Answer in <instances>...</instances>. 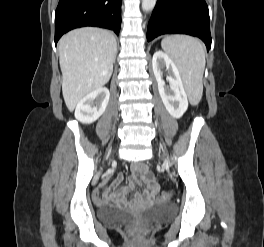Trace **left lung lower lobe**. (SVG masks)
<instances>
[{"instance_id":"0a47b994","label":"left lung lower lobe","mask_w":264,"mask_h":247,"mask_svg":"<svg viewBox=\"0 0 264 247\" xmlns=\"http://www.w3.org/2000/svg\"><path fill=\"white\" fill-rule=\"evenodd\" d=\"M163 34L199 37L209 50L211 34L205 0H157L147 29V40Z\"/></svg>"}]
</instances>
